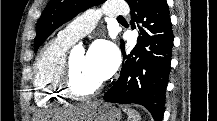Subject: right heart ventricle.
<instances>
[{
    "instance_id": "right-heart-ventricle-1",
    "label": "right heart ventricle",
    "mask_w": 217,
    "mask_h": 121,
    "mask_svg": "<svg viewBox=\"0 0 217 121\" xmlns=\"http://www.w3.org/2000/svg\"><path fill=\"white\" fill-rule=\"evenodd\" d=\"M70 45L71 42L57 36L41 49L37 57L33 82L36 102L40 106H50L65 98L60 89V77Z\"/></svg>"
}]
</instances>
